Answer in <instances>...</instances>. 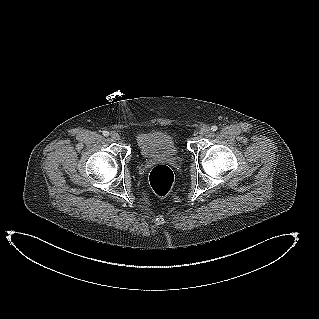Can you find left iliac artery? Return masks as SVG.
<instances>
[{
	"label": "left iliac artery",
	"instance_id": "1",
	"mask_svg": "<svg viewBox=\"0 0 319 319\" xmlns=\"http://www.w3.org/2000/svg\"><path fill=\"white\" fill-rule=\"evenodd\" d=\"M218 128H217V126L216 125H213L212 127H211V130L212 131H216Z\"/></svg>",
	"mask_w": 319,
	"mask_h": 319
}]
</instances>
